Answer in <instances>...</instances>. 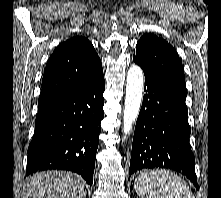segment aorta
I'll return each mask as SVG.
<instances>
[{
  "label": "aorta",
  "instance_id": "762f6f07",
  "mask_svg": "<svg viewBox=\"0 0 221 198\" xmlns=\"http://www.w3.org/2000/svg\"><path fill=\"white\" fill-rule=\"evenodd\" d=\"M143 83L142 69L137 65L131 66L127 73L125 108L123 112V133L125 137L130 133L132 125L138 117L143 97Z\"/></svg>",
  "mask_w": 221,
  "mask_h": 198
}]
</instances>
